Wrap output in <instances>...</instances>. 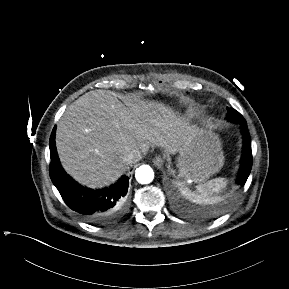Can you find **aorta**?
<instances>
[{"label":"aorta","mask_w":289,"mask_h":289,"mask_svg":"<svg viewBox=\"0 0 289 289\" xmlns=\"http://www.w3.org/2000/svg\"><path fill=\"white\" fill-rule=\"evenodd\" d=\"M135 178L140 184H148L154 178L153 169L149 165H141L136 169Z\"/></svg>","instance_id":"762f6f07"}]
</instances>
